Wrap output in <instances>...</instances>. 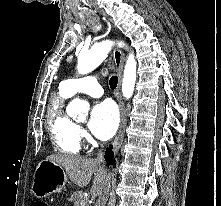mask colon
Here are the masks:
<instances>
[{
	"mask_svg": "<svg viewBox=\"0 0 221 206\" xmlns=\"http://www.w3.org/2000/svg\"><path fill=\"white\" fill-rule=\"evenodd\" d=\"M31 206H48V204L43 201H35L31 204Z\"/></svg>",
	"mask_w": 221,
	"mask_h": 206,
	"instance_id": "1",
	"label": "colon"
}]
</instances>
